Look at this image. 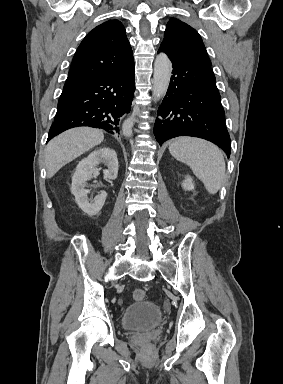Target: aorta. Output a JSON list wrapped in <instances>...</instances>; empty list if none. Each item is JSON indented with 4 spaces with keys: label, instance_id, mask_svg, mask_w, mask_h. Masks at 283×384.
Masks as SVG:
<instances>
[{
    "label": "aorta",
    "instance_id": "aorta-1",
    "mask_svg": "<svg viewBox=\"0 0 283 384\" xmlns=\"http://www.w3.org/2000/svg\"><path fill=\"white\" fill-rule=\"evenodd\" d=\"M172 64L165 53L157 55L154 62V75H153V99L159 101L165 96L169 87L171 78ZM134 119L128 118L123 122L122 131L126 136L132 134Z\"/></svg>",
    "mask_w": 283,
    "mask_h": 384
}]
</instances>
